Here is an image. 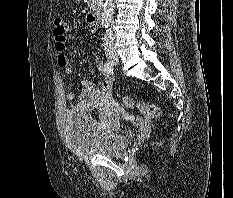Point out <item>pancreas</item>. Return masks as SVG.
Masks as SVG:
<instances>
[{
    "label": "pancreas",
    "instance_id": "pancreas-1",
    "mask_svg": "<svg viewBox=\"0 0 233 198\" xmlns=\"http://www.w3.org/2000/svg\"><path fill=\"white\" fill-rule=\"evenodd\" d=\"M103 0H89L88 6L91 7L92 9L96 7H100L102 5Z\"/></svg>",
    "mask_w": 233,
    "mask_h": 198
}]
</instances>
